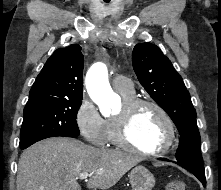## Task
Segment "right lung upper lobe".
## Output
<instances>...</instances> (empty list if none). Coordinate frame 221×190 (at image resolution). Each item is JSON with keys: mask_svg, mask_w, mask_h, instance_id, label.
Masks as SVG:
<instances>
[{"mask_svg": "<svg viewBox=\"0 0 221 190\" xmlns=\"http://www.w3.org/2000/svg\"><path fill=\"white\" fill-rule=\"evenodd\" d=\"M83 64L84 57L78 44L58 48L37 76L26 105L81 101L83 98Z\"/></svg>", "mask_w": 221, "mask_h": 190, "instance_id": "right-lung-upper-lobe-1", "label": "right lung upper lobe"}]
</instances>
